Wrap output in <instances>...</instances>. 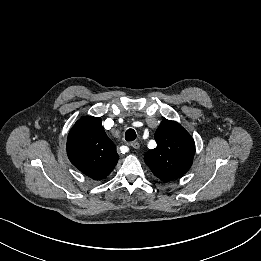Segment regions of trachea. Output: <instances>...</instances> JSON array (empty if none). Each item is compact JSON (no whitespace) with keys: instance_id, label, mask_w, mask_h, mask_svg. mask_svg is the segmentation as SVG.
I'll use <instances>...</instances> for the list:
<instances>
[{"instance_id":"obj_1","label":"trachea","mask_w":261,"mask_h":261,"mask_svg":"<svg viewBox=\"0 0 261 261\" xmlns=\"http://www.w3.org/2000/svg\"><path fill=\"white\" fill-rule=\"evenodd\" d=\"M136 139V132L134 129H128L126 132H125V140L126 141H133Z\"/></svg>"}]
</instances>
